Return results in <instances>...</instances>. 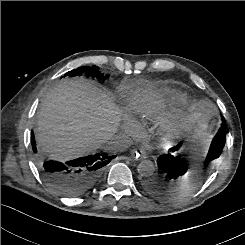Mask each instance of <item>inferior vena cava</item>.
Instances as JSON below:
<instances>
[{
	"label": "inferior vena cava",
	"instance_id": "1",
	"mask_svg": "<svg viewBox=\"0 0 245 245\" xmlns=\"http://www.w3.org/2000/svg\"><path fill=\"white\" fill-rule=\"evenodd\" d=\"M132 144V140L125 135L116 136L108 142L106 146L107 150L114 152H122L126 150Z\"/></svg>",
	"mask_w": 245,
	"mask_h": 245
}]
</instances>
